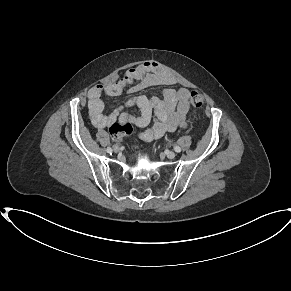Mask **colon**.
<instances>
[{"instance_id":"colon-1","label":"colon","mask_w":291,"mask_h":291,"mask_svg":"<svg viewBox=\"0 0 291 291\" xmlns=\"http://www.w3.org/2000/svg\"><path fill=\"white\" fill-rule=\"evenodd\" d=\"M190 103L194 109L200 108L204 103L203 96L198 92H191ZM194 114L196 112L194 111ZM133 132V127L128 122H114L110 127V134L114 139H119L123 136L130 135Z\"/></svg>"}]
</instances>
